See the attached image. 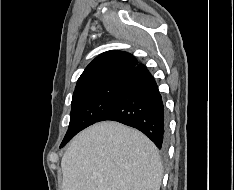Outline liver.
<instances>
[{"label": "liver", "instance_id": "liver-1", "mask_svg": "<svg viewBox=\"0 0 234 190\" xmlns=\"http://www.w3.org/2000/svg\"><path fill=\"white\" fill-rule=\"evenodd\" d=\"M62 190H160L154 143L140 131L100 122L74 137L62 157Z\"/></svg>", "mask_w": 234, "mask_h": 190}]
</instances>
